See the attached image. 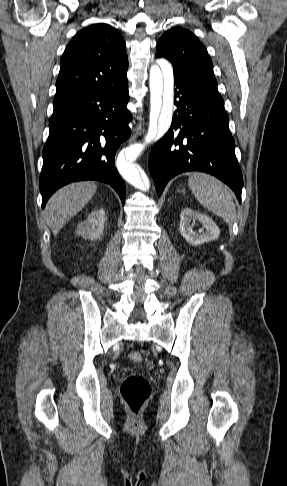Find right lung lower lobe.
<instances>
[{
	"label": "right lung lower lobe",
	"instance_id": "right-lung-lower-lobe-1",
	"mask_svg": "<svg viewBox=\"0 0 287 486\" xmlns=\"http://www.w3.org/2000/svg\"><path fill=\"white\" fill-rule=\"evenodd\" d=\"M128 100L127 81L54 110L42 155V208L58 188L80 180L111 185L124 204L126 188L115 168V155L131 133Z\"/></svg>",
	"mask_w": 287,
	"mask_h": 486
}]
</instances>
